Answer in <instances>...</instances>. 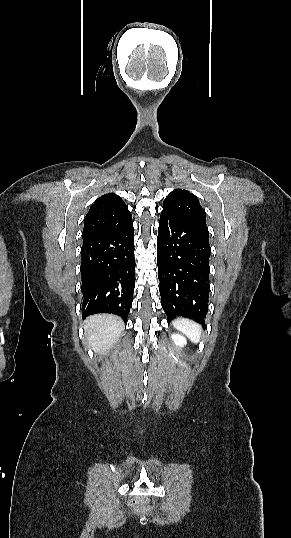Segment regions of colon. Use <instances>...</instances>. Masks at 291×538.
Here are the masks:
<instances>
[{
  "label": "colon",
  "mask_w": 291,
  "mask_h": 538,
  "mask_svg": "<svg viewBox=\"0 0 291 538\" xmlns=\"http://www.w3.org/2000/svg\"><path fill=\"white\" fill-rule=\"evenodd\" d=\"M133 508L137 509V510H139L141 512H148L149 511V507L147 506V504L144 501H134L133 502Z\"/></svg>",
  "instance_id": "colon-1"
}]
</instances>
